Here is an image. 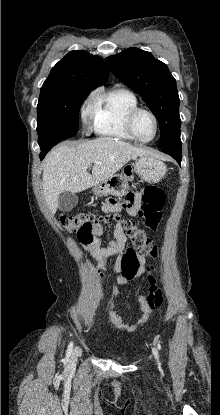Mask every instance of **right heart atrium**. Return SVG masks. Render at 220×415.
I'll return each instance as SVG.
<instances>
[{
    "instance_id": "right-heart-atrium-1",
    "label": "right heart atrium",
    "mask_w": 220,
    "mask_h": 415,
    "mask_svg": "<svg viewBox=\"0 0 220 415\" xmlns=\"http://www.w3.org/2000/svg\"><path fill=\"white\" fill-rule=\"evenodd\" d=\"M92 115H93V101H92V104H88L87 106H85L82 111V117L84 119L85 124L89 122Z\"/></svg>"
}]
</instances>
